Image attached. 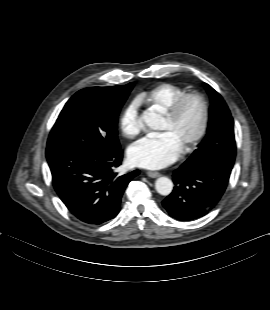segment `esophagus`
Wrapping results in <instances>:
<instances>
[{
    "mask_svg": "<svg viewBox=\"0 0 270 310\" xmlns=\"http://www.w3.org/2000/svg\"><path fill=\"white\" fill-rule=\"evenodd\" d=\"M147 176H149L150 178H157L160 176L159 172H155V171H148L147 172Z\"/></svg>",
    "mask_w": 270,
    "mask_h": 310,
    "instance_id": "obj_1",
    "label": "esophagus"
}]
</instances>
